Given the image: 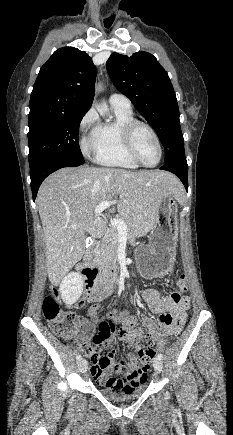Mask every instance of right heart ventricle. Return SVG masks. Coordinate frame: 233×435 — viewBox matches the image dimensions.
<instances>
[{
    "mask_svg": "<svg viewBox=\"0 0 233 435\" xmlns=\"http://www.w3.org/2000/svg\"><path fill=\"white\" fill-rule=\"evenodd\" d=\"M115 119L99 123L93 132L98 164L109 167L137 169L139 165L129 156L122 137V129L134 120L131 109L113 106Z\"/></svg>",
    "mask_w": 233,
    "mask_h": 435,
    "instance_id": "e07e8e85",
    "label": "right heart ventricle"
}]
</instances>
